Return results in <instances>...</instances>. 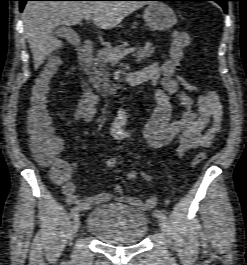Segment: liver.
Listing matches in <instances>:
<instances>
[{
    "label": "liver",
    "instance_id": "obj_1",
    "mask_svg": "<svg viewBox=\"0 0 247 265\" xmlns=\"http://www.w3.org/2000/svg\"><path fill=\"white\" fill-rule=\"evenodd\" d=\"M145 4L142 1H28L22 19L35 69L50 53L62 47V41L53 36L57 26H73L90 15L98 28L109 30Z\"/></svg>",
    "mask_w": 247,
    "mask_h": 265
}]
</instances>
